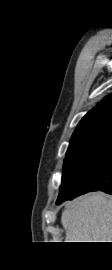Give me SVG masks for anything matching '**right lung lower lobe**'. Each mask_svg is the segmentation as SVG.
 <instances>
[{
	"mask_svg": "<svg viewBox=\"0 0 112 270\" xmlns=\"http://www.w3.org/2000/svg\"><path fill=\"white\" fill-rule=\"evenodd\" d=\"M83 192L101 190L112 195V144L103 158L82 177Z\"/></svg>",
	"mask_w": 112,
	"mask_h": 270,
	"instance_id": "1",
	"label": "right lung lower lobe"
}]
</instances>
